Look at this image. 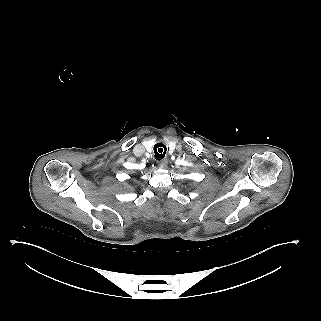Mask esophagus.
<instances>
[{
	"label": "esophagus",
	"mask_w": 321,
	"mask_h": 321,
	"mask_svg": "<svg viewBox=\"0 0 321 321\" xmlns=\"http://www.w3.org/2000/svg\"><path fill=\"white\" fill-rule=\"evenodd\" d=\"M166 165H167V161H163L162 163H160V167H161V168L166 167Z\"/></svg>",
	"instance_id": "1"
}]
</instances>
